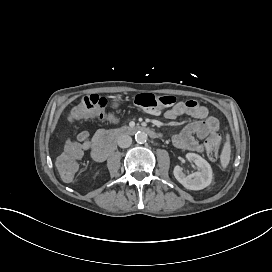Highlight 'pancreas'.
Listing matches in <instances>:
<instances>
[{"label": "pancreas", "instance_id": "pancreas-1", "mask_svg": "<svg viewBox=\"0 0 272 272\" xmlns=\"http://www.w3.org/2000/svg\"><path fill=\"white\" fill-rule=\"evenodd\" d=\"M126 128H127V127H126V126H124V127H122L121 129H122V130H125Z\"/></svg>", "mask_w": 272, "mask_h": 272}]
</instances>
